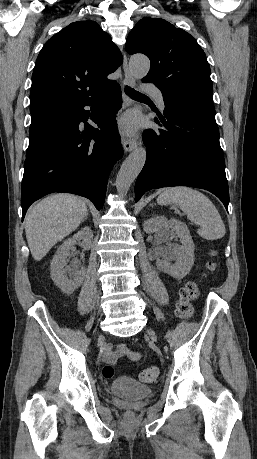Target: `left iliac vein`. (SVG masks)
<instances>
[{"mask_svg":"<svg viewBox=\"0 0 257 459\" xmlns=\"http://www.w3.org/2000/svg\"><path fill=\"white\" fill-rule=\"evenodd\" d=\"M147 333L151 336L152 339H156V334H155V332L153 330L148 329Z\"/></svg>","mask_w":257,"mask_h":459,"instance_id":"obj_1","label":"left iliac vein"}]
</instances>
